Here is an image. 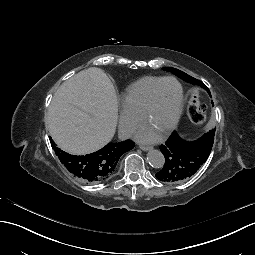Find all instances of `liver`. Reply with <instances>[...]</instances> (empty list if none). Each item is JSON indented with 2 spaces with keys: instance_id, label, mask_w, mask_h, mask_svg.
I'll return each mask as SVG.
<instances>
[{
  "instance_id": "6515ba94",
  "label": "liver",
  "mask_w": 255,
  "mask_h": 255,
  "mask_svg": "<svg viewBox=\"0 0 255 255\" xmlns=\"http://www.w3.org/2000/svg\"><path fill=\"white\" fill-rule=\"evenodd\" d=\"M117 115V95L111 80L102 69L91 67L58 88L46 125L59 148L84 155L111 141Z\"/></svg>"
}]
</instances>
